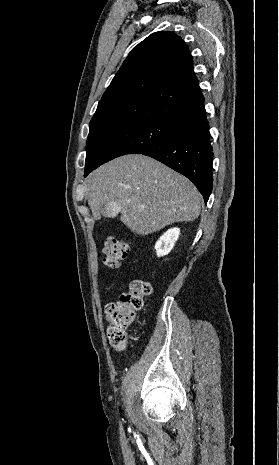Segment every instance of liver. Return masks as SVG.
Listing matches in <instances>:
<instances>
[{"label":"liver","mask_w":279,"mask_h":465,"mask_svg":"<svg viewBox=\"0 0 279 465\" xmlns=\"http://www.w3.org/2000/svg\"><path fill=\"white\" fill-rule=\"evenodd\" d=\"M87 200L95 220L100 219L106 203L118 204L122 223L144 236L175 222L194 221L200 215L202 197L185 176L137 154L116 158L94 170Z\"/></svg>","instance_id":"obj_1"}]
</instances>
